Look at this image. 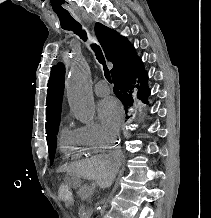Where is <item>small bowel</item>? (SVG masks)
I'll use <instances>...</instances> for the list:
<instances>
[{
    "label": "small bowel",
    "instance_id": "c3829d8e",
    "mask_svg": "<svg viewBox=\"0 0 211 218\" xmlns=\"http://www.w3.org/2000/svg\"><path fill=\"white\" fill-rule=\"evenodd\" d=\"M73 205V200H69L66 202L67 207H71Z\"/></svg>",
    "mask_w": 211,
    "mask_h": 218
}]
</instances>
